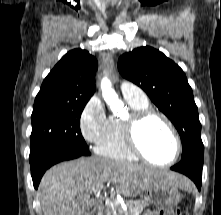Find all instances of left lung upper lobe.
<instances>
[{
    "mask_svg": "<svg viewBox=\"0 0 221 215\" xmlns=\"http://www.w3.org/2000/svg\"><path fill=\"white\" fill-rule=\"evenodd\" d=\"M118 69L124 78L141 87L174 124L182 141L181 158L203 157L198 109L183 70L149 46L123 54Z\"/></svg>",
    "mask_w": 221,
    "mask_h": 215,
    "instance_id": "1",
    "label": "left lung upper lobe"
}]
</instances>
